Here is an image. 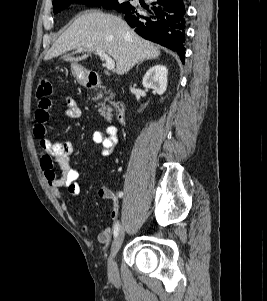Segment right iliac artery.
<instances>
[{
    "label": "right iliac artery",
    "mask_w": 267,
    "mask_h": 301,
    "mask_svg": "<svg viewBox=\"0 0 267 301\" xmlns=\"http://www.w3.org/2000/svg\"><path fill=\"white\" fill-rule=\"evenodd\" d=\"M118 196L119 197H122L123 196V193L122 192H119L118 193ZM119 230H120V223L119 221H117L116 225H115V229H114V237H117L118 233H119Z\"/></svg>",
    "instance_id": "1"
}]
</instances>
